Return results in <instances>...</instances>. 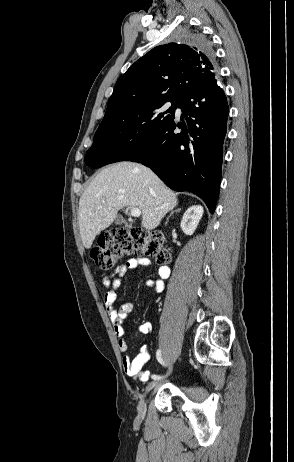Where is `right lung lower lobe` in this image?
<instances>
[{"label":"right lung lower lobe","mask_w":294,"mask_h":462,"mask_svg":"<svg viewBox=\"0 0 294 462\" xmlns=\"http://www.w3.org/2000/svg\"><path fill=\"white\" fill-rule=\"evenodd\" d=\"M178 107L185 121L176 124L173 119L124 161L139 162L151 168L173 190L196 193L213 213L221 179L223 141L229 114L227 100L215 78L187 91ZM176 127L182 131L174 132ZM85 163L98 168L106 162L98 154Z\"/></svg>","instance_id":"right-lung-lower-lobe-1"}]
</instances>
